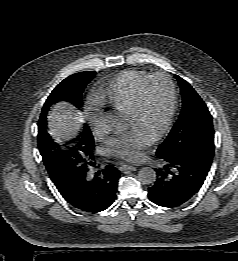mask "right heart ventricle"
Wrapping results in <instances>:
<instances>
[{
  "label": "right heart ventricle",
  "instance_id": "obj_1",
  "mask_svg": "<svg viewBox=\"0 0 238 261\" xmlns=\"http://www.w3.org/2000/svg\"><path fill=\"white\" fill-rule=\"evenodd\" d=\"M150 74L142 70H127L114 78L98 95L99 105H108L118 111H128L137 89Z\"/></svg>",
  "mask_w": 238,
  "mask_h": 261
}]
</instances>
